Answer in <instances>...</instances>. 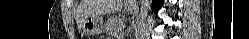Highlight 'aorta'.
<instances>
[{
  "mask_svg": "<svg viewBox=\"0 0 249 39\" xmlns=\"http://www.w3.org/2000/svg\"><path fill=\"white\" fill-rule=\"evenodd\" d=\"M149 1L148 0H140L141 8H140V15L138 18V23L140 24L143 22V18L146 14L147 6H148Z\"/></svg>",
  "mask_w": 249,
  "mask_h": 39,
  "instance_id": "aorta-1",
  "label": "aorta"
}]
</instances>
